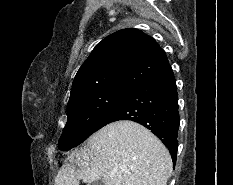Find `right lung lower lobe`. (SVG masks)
Listing matches in <instances>:
<instances>
[{"label": "right lung lower lobe", "mask_w": 233, "mask_h": 185, "mask_svg": "<svg viewBox=\"0 0 233 185\" xmlns=\"http://www.w3.org/2000/svg\"><path fill=\"white\" fill-rule=\"evenodd\" d=\"M117 120H132L151 130L169 149L175 164L180 118L171 67L167 66L131 89L102 120L98 129Z\"/></svg>", "instance_id": "1"}]
</instances>
